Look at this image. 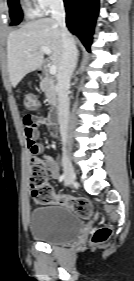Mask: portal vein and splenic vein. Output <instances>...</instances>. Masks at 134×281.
Instances as JSON below:
<instances>
[{
	"label": "portal vein and splenic vein",
	"mask_w": 134,
	"mask_h": 281,
	"mask_svg": "<svg viewBox=\"0 0 134 281\" xmlns=\"http://www.w3.org/2000/svg\"><path fill=\"white\" fill-rule=\"evenodd\" d=\"M41 50L43 51V53L47 54V55H50L51 54V49L49 47H46V46H42L41 47ZM49 72L50 74L54 75L56 74L57 72V67L56 65H50L49 67Z\"/></svg>",
	"instance_id": "18ae733b"
}]
</instances>
